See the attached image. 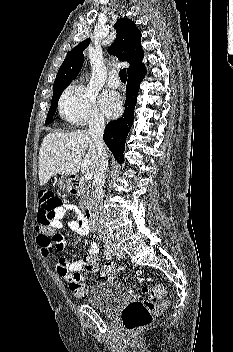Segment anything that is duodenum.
<instances>
[{
	"instance_id": "obj_1",
	"label": "duodenum",
	"mask_w": 233,
	"mask_h": 352,
	"mask_svg": "<svg viewBox=\"0 0 233 352\" xmlns=\"http://www.w3.org/2000/svg\"><path fill=\"white\" fill-rule=\"evenodd\" d=\"M70 184V190L73 194L78 193L79 190H81L82 185L78 178L75 176H72L69 180ZM84 218L86 223L88 224L90 229H95L96 228V222H95V208L93 205H90L87 207Z\"/></svg>"
}]
</instances>
